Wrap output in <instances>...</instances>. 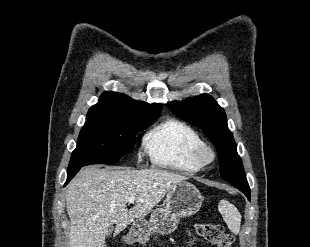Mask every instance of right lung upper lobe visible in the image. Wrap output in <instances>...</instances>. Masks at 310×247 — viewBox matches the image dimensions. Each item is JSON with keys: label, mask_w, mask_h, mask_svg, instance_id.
Segmentation results:
<instances>
[{"label": "right lung upper lobe", "mask_w": 310, "mask_h": 247, "mask_svg": "<svg viewBox=\"0 0 310 247\" xmlns=\"http://www.w3.org/2000/svg\"><path fill=\"white\" fill-rule=\"evenodd\" d=\"M160 104H143L117 92H105L99 102L89 109L87 116H112L118 118L144 120L159 116Z\"/></svg>", "instance_id": "right-lung-upper-lobe-1"}]
</instances>
